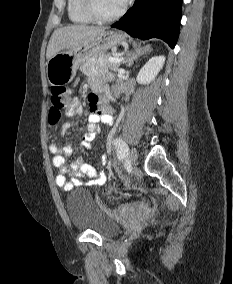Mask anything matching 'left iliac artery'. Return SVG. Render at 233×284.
<instances>
[{
    "label": "left iliac artery",
    "mask_w": 233,
    "mask_h": 284,
    "mask_svg": "<svg viewBox=\"0 0 233 284\" xmlns=\"http://www.w3.org/2000/svg\"><path fill=\"white\" fill-rule=\"evenodd\" d=\"M114 145L117 149V156L119 159L125 158L129 153L128 145L120 138L114 140Z\"/></svg>",
    "instance_id": "left-iliac-artery-1"
}]
</instances>
